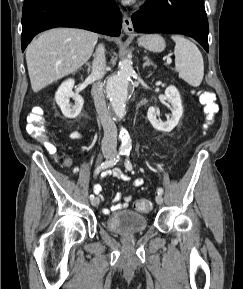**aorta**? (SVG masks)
Listing matches in <instances>:
<instances>
[{"label": "aorta", "mask_w": 243, "mask_h": 289, "mask_svg": "<svg viewBox=\"0 0 243 289\" xmlns=\"http://www.w3.org/2000/svg\"><path fill=\"white\" fill-rule=\"evenodd\" d=\"M134 73L132 63L129 60H122L119 64V70L116 74L108 78L106 83V93L110 100L113 113L118 118L126 115V101L128 99V90L131 77ZM122 144L121 152L131 150V139L126 130L120 132Z\"/></svg>", "instance_id": "762f6f07"}]
</instances>
